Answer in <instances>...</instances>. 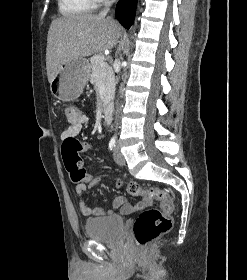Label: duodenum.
I'll return each mask as SVG.
<instances>
[{
    "instance_id": "duodenum-1",
    "label": "duodenum",
    "mask_w": 247,
    "mask_h": 280,
    "mask_svg": "<svg viewBox=\"0 0 247 280\" xmlns=\"http://www.w3.org/2000/svg\"><path fill=\"white\" fill-rule=\"evenodd\" d=\"M111 113H112L111 106L109 104H105V106L103 107V118L106 122L111 121Z\"/></svg>"
}]
</instances>
